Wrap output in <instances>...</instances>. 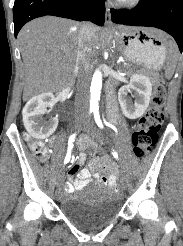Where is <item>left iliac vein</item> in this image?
Instances as JSON below:
<instances>
[{
  "label": "left iliac vein",
  "instance_id": "4c4485c4",
  "mask_svg": "<svg viewBox=\"0 0 183 246\" xmlns=\"http://www.w3.org/2000/svg\"><path fill=\"white\" fill-rule=\"evenodd\" d=\"M87 130L88 132H90L93 137H95L96 139H99L100 138V134L99 132L93 127V124L92 123H89L88 127H87ZM122 181H123V186L125 187L126 186V183H125V179L124 177L122 178Z\"/></svg>",
  "mask_w": 183,
  "mask_h": 246
}]
</instances>
